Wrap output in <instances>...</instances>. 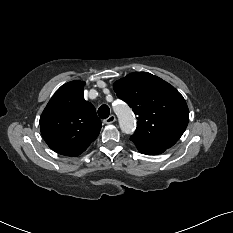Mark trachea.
Masks as SVG:
<instances>
[{"mask_svg": "<svg viewBox=\"0 0 233 233\" xmlns=\"http://www.w3.org/2000/svg\"><path fill=\"white\" fill-rule=\"evenodd\" d=\"M110 109L107 105L103 104L98 109V115L101 119H106L109 117Z\"/></svg>", "mask_w": 233, "mask_h": 233, "instance_id": "1", "label": "trachea"}]
</instances>
